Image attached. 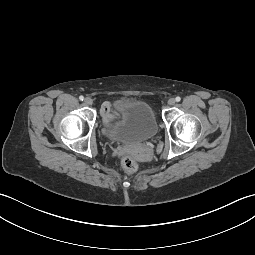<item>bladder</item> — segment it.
Segmentation results:
<instances>
[{
  "mask_svg": "<svg viewBox=\"0 0 255 255\" xmlns=\"http://www.w3.org/2000/svg\"><path fill=\"white\" fill-rule=\"evenodd\" d=\"M114 121L106 128L109 138L116 141H143L154 137L159 131L156 115L145 101L120 99L113 104Z\"/></svg>",
  "mask_w": 255,
  "mask_h": 255,
  "instance_id": "31cf9c89",
  "label": "bladder"
}]
</instances>
